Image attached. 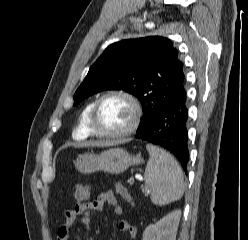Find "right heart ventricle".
<instances>
[{
	"instance_id": "1",
	"label": "right heart ventricle",
	"mask_w": 248,
	"mask_h": 240,
	"mask_svg": "<svg viewBox=\"0 0 248 240\" xmlns=\"http://www.w3.org/2000/svg\"><path fill=\"white\" fill-rule=\"evenodd\" d=\"M94 102V100H91L83 107L72 133L74 139L84 140L92 135L89 120Z\"/></svg>"
}]
</instances>
